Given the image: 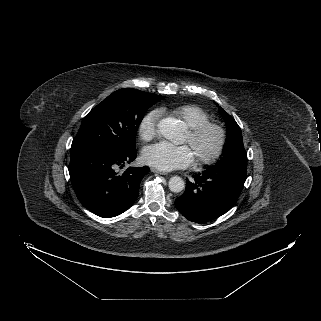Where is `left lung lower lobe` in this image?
<instances>
[{
	"label": "left lung lower lobe",
	"instance_id": "obj_1",
	"mask_svg": "<svg viewBox=\"0 0 321 321\" xmlns=\"http://www.w3.org/2000/svg\"><path fill=\"white\" fill-rule=\"evenodd\" d=\"M247 177V159L220 161L187 180L175 206L188 220L205 223L226 213L236 203Z\"/></svg>",
	"mask_w": 321,
	"mask_h": 321
}]
</instances>
